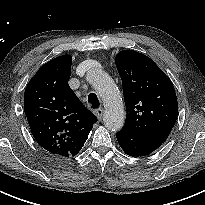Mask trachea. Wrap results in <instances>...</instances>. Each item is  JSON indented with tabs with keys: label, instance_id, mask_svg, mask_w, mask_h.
Segmentation results:
<instances>
[{
	"label": "trachea",
	"instance_id": "1",
	"mask_svg": "<svg viewBox=\"0 0 205 205\" xmlns=\"http://www.w3.org/2000/svg\"><path fill=\"white\" fill-rule=\"evenodd\" d=\"M88 101L92 108H98L100 105L98 97L95 93H90L88 95Z\"/></svg>",
	"mask_w": 205,
	"mask_h": 205
}]
</instances>
